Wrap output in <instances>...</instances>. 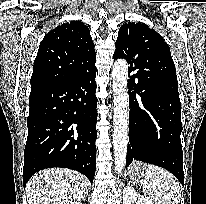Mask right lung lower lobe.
<instances>
[{
    "label": "right lung lower lobe",
    "mask_w": 206,
    "mask_h": 204,
    "mask_svg": "<svg viewBox=\"0 0 206 204\" xmlns=\"http://www.w3.org/2000/svg\"><path fill=\"white\" fill-rule=\"evenodd\" d=\"M96 67L65 81L31 89L24 186L39 170L65 167L93 182L96 167Z\"/></svg>",
    "instance_id": "98d812e1"
}]
</instances>
